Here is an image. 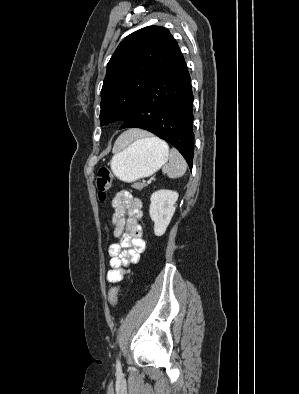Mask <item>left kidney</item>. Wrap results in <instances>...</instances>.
I'll return each instance as SVG.
<instances>
[{"label":"left kidney","instance_id":"left-kidney-1","mask_svg":"<svg viewBox=\"0 0 299 394\" xmlns=\"http://www.w3.org/2000/svg\"><path fill=\"white\" fill-rule=\"evenodd\" d=\"M177 199L176 191L161 189L152 194L149 213L154 222L156 236H162L165 233L175 212Z\"/></svg>","mask_w":299,"mask_h":394}]
</instances>
